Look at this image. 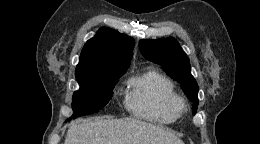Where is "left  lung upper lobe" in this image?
Returning a JSON list of instances; mask_svg holds the SVG:
<instances>
[{
    "mask_svg": "<svg viewBox=\"0 0 260 144\" xmlns=\"http://www.w3.org/2000/svg\"><path fill=\"white\" fill-rule=\"evenodd\" d=\"M139 48L146 59L162 66L169 77L181 84L184 93L194 102L192 111L195 114L198 106V85L191 75L190 61L177 40L173 37L142 39L139 41Z\"/></svg>",
    "mask_w": 260,
    "mask_h": 144,
    "instance_id": "1",
    "label": "left lung upper lobe"
}]
</instances>
